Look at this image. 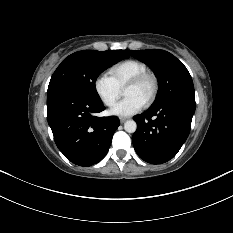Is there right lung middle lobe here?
<instances>
[{"mask_svg":"<svg viewBox=\"0 0 233 233\" xmlns=\"http://www.w3.org/2000/svg\"><path fill=\"white\" fill-rule=\"evenodd\" d=\"M129 57L127 50H83L66 57L51 77L47 95L69 93L101 102L95 88L100 73Z\"/></svg>","mask_w":233,"mask_h":233,"instance_id":"obj_1","label":"right lung middle lobe"}]
</instances>
